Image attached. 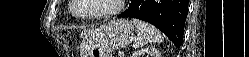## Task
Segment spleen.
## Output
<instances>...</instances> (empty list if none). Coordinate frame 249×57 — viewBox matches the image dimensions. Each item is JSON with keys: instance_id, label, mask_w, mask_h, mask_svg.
<instances>
[{"instance_id": "spleen-1", "label": "spleen", "mask_w": 249, "mask_h": 57, "mask_svg": "<svg viewBox=\"0 0 249 57\" xmlns=\"http://www.w3.org/2000/svg\"><path fill=\"white\" fill-rule=\"evenodd\" d=\"M131 23L135 26L138 36L134 43V47L139 48L147 45L148 43H157L163 41L161 32L153 25L136 18H132Z\"/></svg>"}]
</instances>
